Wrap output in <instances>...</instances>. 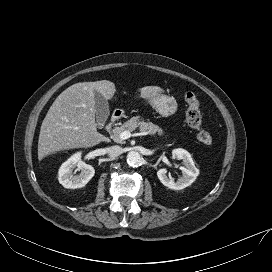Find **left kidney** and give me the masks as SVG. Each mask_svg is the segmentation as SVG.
<instances>
[{"label":"left kidney","mask_w":272,"mask_h":272,"mask_svg":"<svg viewBox=\"0 0 272 272\" xmlns=\"http://www.w3.org/2000/svg\"><path fill=\"white\" fill-rule=\"evenodd\" d=\"M172 155L177 160H182L184 166L180 169L183 172V177L178 179L176 182L167 177V169L161 168L157 171V176L160 182L173 190H181L191 185L197 176L199 175V169L195 166V163L190 153L184 149L178 148L172 151Z\"/></svg>","instance_id":"5707ae66"}]
</instances>
